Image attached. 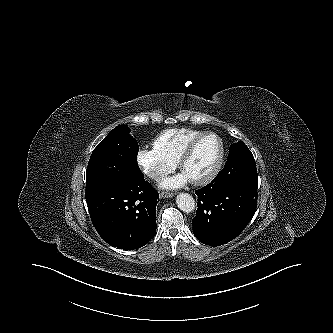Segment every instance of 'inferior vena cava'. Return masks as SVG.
<instances>
[{
	"label": "inferior vena cava",
	"instance_id": "602c4592",
	"mask_svg": "<svg viewBox=\"0 0 333 333\" xmlns=\"http://www.w3.org/2000/svg\"><path fill=\"white\" fill-rule=\"evenodd\" d=\"M149 177L155 180H160L161 178L164 177V174H162L161 172L158 171H152L149 174Z\"/></svg>",
	"mask_w": 333,
	"mask_h": 333
}]
</instances>
